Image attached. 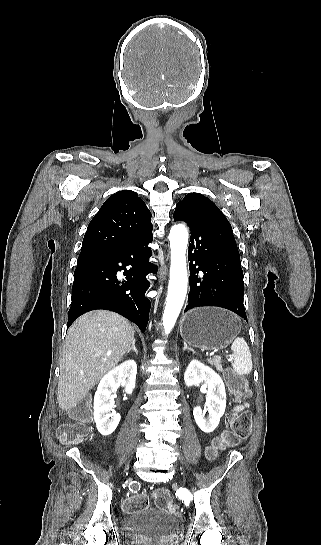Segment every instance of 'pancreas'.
<instances>
[{
	"label": "pancreas",
	"instance_id": "pancreas-1",
	"mask_svg": "<svg viewBox=\"0 0 321 545\" xmlns=\"http://www.w3.org/2000/svg\"><path fill=\"white\" fill-rule=\"evenodd\" d=\"M208 363L210 365H214L216 367L217 371H223V367L221 365V359L220 357H216V359H207Z\"/></svg>",
	"mask_w": 321,
	"mask_h": 545
}]
</instances>
